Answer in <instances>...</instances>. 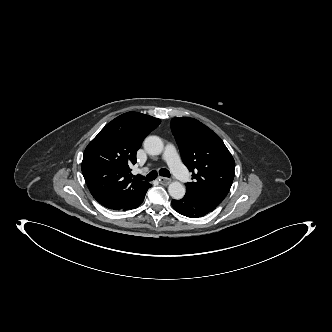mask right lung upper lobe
<instances>
[{"instance_id":"right-lung-upper-lobe-1","label":"right lung upper lobe","mask_w":332,"mask_h":332,"mask_svg":"<svg viewBox=\"0 0 332 332\" xmlns=\"http://www.w3.org/2000/svg\"><path fill=\"white\" fill-rule=\"evenodd\" d=\"M161 120L127 112L108 123L84 151L82 173L92 196L104 207L120 210L150 184L132 179L130 167L144 138Z\"/></svg>"}]
</instances>
